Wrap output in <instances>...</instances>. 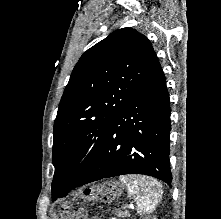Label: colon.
Listing matches in <instances>:
<instances>
[{
    "mask_svg": "<svg viewBox=\"0 0 221 219\" xmlns=\"http://www.w3.org/2000/svg\"><path fill=\"white\" fill-rule=\"evenodd\" d=\"M114 191V187L111 184L102 185L97 190H86L84 192L85 196H97L103 201H107L110 198V195ZM65 219H91L87 212L83 209H73L66 212Z\"/></svg>",
    "mask_w": 221,
    "mask_h": 219,
    "instance_id": "obj_1",
    "label": "colon"
}]
</instances>
